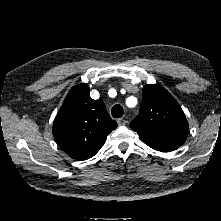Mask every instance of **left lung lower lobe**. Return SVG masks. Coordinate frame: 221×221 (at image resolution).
<instances>
[{"mask_svg":"<svg viewBox=\"0 0 221 221\" xmlns=\"http://www.w3.org/2000/svg\"><path fill=\"white\" fill-rule=\"evenodd\" d=\"M141 139L151 148L161 151V152H170L178 147H180L184 141L181 140H165L155 137H144L141 136Z\"/></svg>","mask_w":221,"mask_h":221,"instance_id":"obj_1","label":"left lung lower lobe"}]
</instances>
